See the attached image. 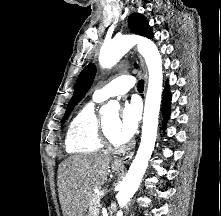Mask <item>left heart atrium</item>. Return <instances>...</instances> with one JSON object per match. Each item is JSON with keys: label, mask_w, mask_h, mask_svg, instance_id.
Returning a JSON list of instances; mask_svg holds the SVG:
<instances>
[{"label": "left heart atrium", "mask_w": 221, "mask_h": 216, "mask_svg": "<svg viewBox=\"0 0 221 216\" xmlns=\"http://www.w3.org/2000/svg\"><path fill=\"white\" fill-rule=\"evenodd\" d=\"M141 117L137 102L126 103L118 119V133L123 140L130 139L136 133Z\"/></svg>", "instance_id": "obj_1"}]
</instances>
